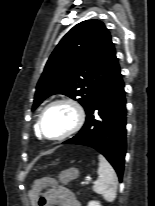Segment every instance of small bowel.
Masks as SVG:
<instances>
[{"mask_svg": "<svg viewBox=\"0 0 155 206\" xmlns=\"http://www.w3.org/2000/svg\"><path fill=\"white\" fill-rule=\"evenodd\" d=\"M35 188H40V181H37ZM31 195L35 197L36 193L32 190ZM46 197L47 202L44 206H81L72 192L62 186L55 185Z\"/></svg>", "mask_w": 155, "mask_h": 206, "instance_id": "c3829d8e", "label": "small bowel"}]
</instances>
